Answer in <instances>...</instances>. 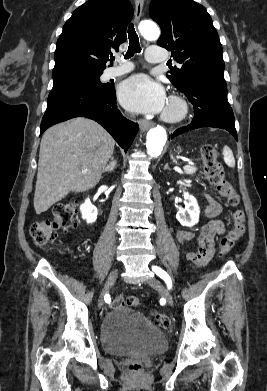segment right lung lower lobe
<instances>
[{"instance_id":"1","label":"right lung lower lobe","mask_w":267,"mask_h":391,"mask_svg":"<svg viewBox=\"0 0 267 391\" xmlns=\"http://www.w3.org/2000/svg\"><path fill=\"white\" fill-rule=\"evenodd\" d=\"M74 117H87L101 124L125 152L138 131V124L125 119L117 109L112 84L105 88L71 86L51 91L41 134L50 126Z\"/></svg>"}]
</instances>
